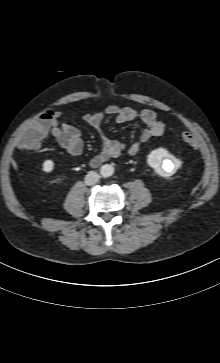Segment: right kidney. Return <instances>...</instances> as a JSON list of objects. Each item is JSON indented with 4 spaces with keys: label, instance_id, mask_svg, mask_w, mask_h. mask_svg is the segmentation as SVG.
<instances>
[{
    "label": "right kidney",
    "instance_id": "right-kidney-1",
    "mask_svg": "<svg viewBox=\"0 0 220 363\" xmlns=\"http://www.w3.org/2000/svg\"><path fill=\"white\" fill-rule=\"evenodd\" d=\"M54 168V162L52 160H45L43 163V171L44 172H51Z\"/></svg>",
    "mask_w": 220,
    "mask_h": 363
}]
</instances>
